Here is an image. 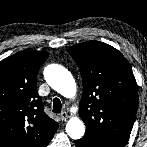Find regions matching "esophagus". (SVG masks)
I'll return each mask as SVG.
<instances>
[{"label": "esophagus", "instance_id": "1", "mask_svg": "<svg viewBox=\"0 0 147 147\" xmlns=\"http://www.w3.org/2000/svg\"><path fill=\"white\" fill-rule=\"evenodd\" d=\"M60 119L62 121H66L68 119V113L66 111H63L60 113Z\"/></svg>", "mask_w": 147, "mask_h": 147}]
</instances>
